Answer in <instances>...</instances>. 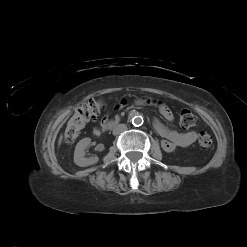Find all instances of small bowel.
Returning <instances> with one entry per match:
<instances>
[{
    "label": "small bowel",
    "instance_id": "c3829d8e",
    "mask_svg": "<svg viewBox=\"0 0 247 247\" xmlns=\"http://www.w3.org/2000/svg\"><path fill=\"white\" fill-rule=\"evenodd\" d=\"M147 102H151L147 100ZM127 101L125 98L120 97L117 101H115L114 104L111 105L110 108H108V113H113L114 110H121L124 105H126ZM154 103L158 109L160 114L167 120L172 121L173 120V114L169 107L161 102H152ZM105 125V121L103 122V126ZM154 127L157 131V133L162 137L161 141V147L165 152H173L178 147H188L192 143L195 142L197 139V133L193 130H189L184 133L177 132L175 130L169 129L164 124H162L159 120H155ZM94 135L100 134L99 128L93 129Z\"/></svg>",
    "mask_w": 247,
    "mask_h": 247
}]
</instances>
